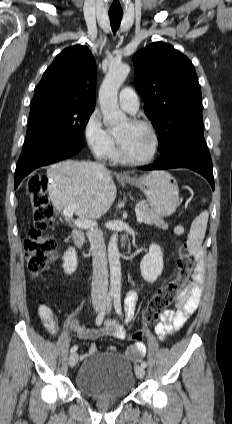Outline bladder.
Here are the masks:
<instances>
[{"label": "bladder", "instance_id": "obj_1", "mask_svg": "<svg viewBox=\"0 0 232 424\" xmlns=\"http://www.w3.org/2000/svg\"><path fill=\"white\" fill-rule=\"evenodd\" d=\"M134 385V368L118 353L86 358L76 375L77 389L93 398H124Z\"/></svg>", "mask_w": 232, "mask_h": 424}]
</instances>
